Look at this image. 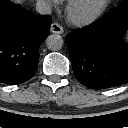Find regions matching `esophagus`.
<instances>
[{"mask_svg": "<svg viewBox=\"0 0 128 128\" xmlns=\"http://www.w3.org/2000/svg\"><path fill=\"white\" fill-rule=\"evenodd\" d=\"M64 31L63 27L58 23L51 24V32L55 34H62Z\"/></svg>", "mask_w": 128, "mask_h": 128, "instance_id": "34e87169", "label": "esophagus"}]
</instances>
